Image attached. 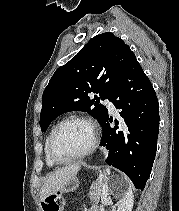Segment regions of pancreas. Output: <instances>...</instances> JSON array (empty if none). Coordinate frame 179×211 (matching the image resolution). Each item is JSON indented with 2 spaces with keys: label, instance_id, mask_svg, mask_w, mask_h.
<instances>
[{
  "label": "pancreas",
  "instance_id": "obj_1",
  "mask_svg": "<svg viewBox=\"0 0 179 211\" xmlns=\"http://www.w3.org/2000/svg\"><path fill=\"white\" fill-rule=\"evenodd\" d=\"M103 188V180L98 179L92 183L89 191V198L92 202L98 203L101 197V192Z\"/></svg>",
  "mask_w": 179,
  "mask_h": 211
}]
</instances>
